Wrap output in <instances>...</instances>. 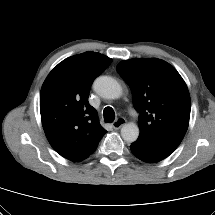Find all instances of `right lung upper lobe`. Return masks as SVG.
<instances>
[{"instance_id": "1", "label": "right lung upper lobe", "mask_w": 215, "mask_h": 215, "mask_svg": "<svg viewBox=\"0 0 215 215\" xmlns=\"http://www.w3.org/2000/svg\"><path fill=\"white\" fill-rule=\"evenodd\" d=\"M112 62L96 52L66 58L47 76L40 93L42 125L53 149L80 162L91 155L107 132L88 102L93 80Z\"/></svg>"}]
</instances>
